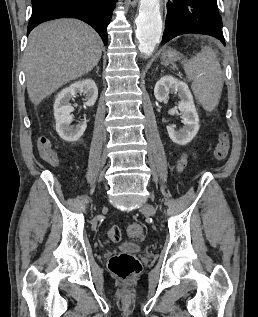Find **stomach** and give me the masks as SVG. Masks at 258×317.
I'll return each mask as SVG.
<instances>
[{"label":"stomach","instance_id":"0dacf381","mask_svg":"<svg viewBox=\"0 0 258 317\" xmlns=\"http://www.w3.org/2000/svg\"><path fill=\"white\" fill-rule=\"evenodd\" d=\"M180 52L178 50H174V48H166L164 52L161 54V62L162 64H171L174 60H179Z\"/></svg>","mask_w":258,"mask_h":317}]
</instances>
